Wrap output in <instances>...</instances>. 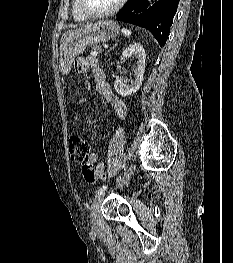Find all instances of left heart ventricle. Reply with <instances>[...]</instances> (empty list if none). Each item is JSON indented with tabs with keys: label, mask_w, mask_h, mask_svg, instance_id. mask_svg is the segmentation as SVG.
Masks as SVG:
<instances>
[{
	"label": "left heart ventricle",
	"mask_w": 233,
	"mask_h": 263,
	"mask_svg": "<svg viewBox=\"0 0 233 263\" xmlns=\"http://www.w3.org/2000/svg\"><path fill=\"white\" fill-rule=\"evenodd\" d=\"M118 0H83L85 8L93 13L107 11L115 6Z\"/></svg>",
	"instance_id": "b2bd125f"
}]
</instances>
